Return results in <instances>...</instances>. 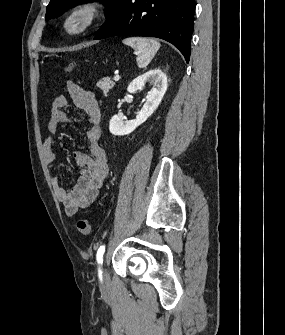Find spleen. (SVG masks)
Masks as SVG:
<instances>
[{"label": "spleen", "mask_w": 285, "mask_h": 335, "mask_svg": "<svg viewBox=\"0 0 285 335\" xmlns=\"http://www.w3.org/2000/svg\"><path fill=\"white\" fill-rule=\"evenodd\" d=\"M122 44L131 46L137 52L138 68H146L160 48L159 42H156L154 38H126L122 40Z\"/></svg>", "instance_id": "obj_1"}]
</instances>
